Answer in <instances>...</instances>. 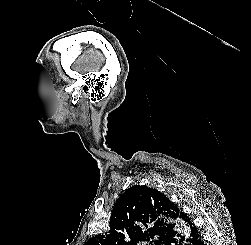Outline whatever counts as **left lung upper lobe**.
Here are the masks:
<instances>
[{
	"instance_id": "1",
	"label": "left lung upper lobe",
	"mask_w": 251,
	"mask_h": 245,
	"mask_svg": "<svg viewBox=\"0 0 251 245\" xmlns=\"http://www.w3.org/2000/svg\"><path fill=\"white\" fill-rule=\"evenodd\" d=\"M182 213L166 195L145 185H134L115 202L109 231L84 245H137L140 241L161 245L176 231L174 225L164 223L163 219L156 221L157 217L162 214L188 222Z\"/></svg>"
}]
</instances>
